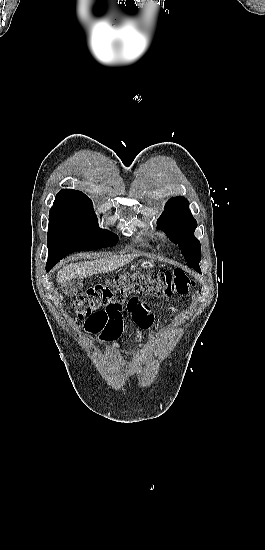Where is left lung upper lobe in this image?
<instances>
[{"mask_svg":"<svg viewBox=\"0 0 265 550\" xmlns=\"http://www.w3.org/2000/svg\"><path fill=\"white\" fill-rule=\"evenodd\" d=\"M157 226L165 231L174 244H178L187 265L200 270V241L194 236L197 222L189 210L188 200L183 197L170 199L157 220Z\"/></svg>","mask_w":265,"mask_h":550,"instance_id":"obj_1","label":"left lung upper lobe"}]
</instances>
